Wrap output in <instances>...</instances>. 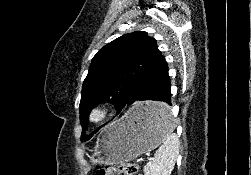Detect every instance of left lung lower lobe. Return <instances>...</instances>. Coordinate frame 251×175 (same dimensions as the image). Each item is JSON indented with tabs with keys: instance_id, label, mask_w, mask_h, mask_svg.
I'll use <instances>...</instances> for the list:
<instances>
[{
	"instance_id": "0a47b994",
	"label": "left lung lower lobe",
	"mask_w": 251,
	"mask_h": 175,
	"mask_svg": "<svg viewBox=\"0 0 251 175\" xmlns=\"http://www.w3.org/2000/svg\"><path fill=\"white\" fill-rule=\"evenodd\" d=\"M171 83L168 66L163 57L147 74L135 85L126 103L116 106L117 114L127 112L136 120L161 122L170 117ZM160 101L162 103L150 105L134 104L137 101Z\"/></svg>"
}]
</instances>
